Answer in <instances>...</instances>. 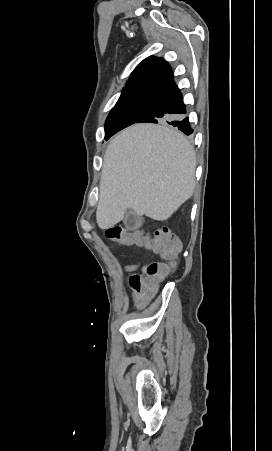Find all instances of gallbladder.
Returning a JSON list of instances; mask_svg holds the SVG:
<instances>
[{"instance_id":"1","label":"gallbladder","mask_w":272,"mask_h":451,"mask_svg":"<svg viewBox=\"0 0 272 451\" xmlns=\"http://www.w3.org/2000/svg\"><path fill=\"white\" fill-rule=\"evenodd\" d=\"M124 224L128 229H136V227H140L143 224V218L141 216H136L134 212H131V210H128L126 212V216L123 220Z\"/></svg>"}]
</instances>
